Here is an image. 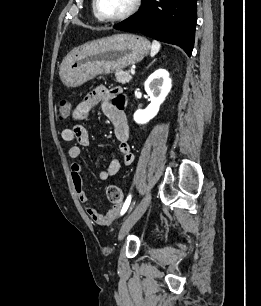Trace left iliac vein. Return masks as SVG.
Instances as JSON below:
<instances>
[{
	"mask_svg": "<svg viewBox=\"0 0 261 306\" xmlns=\"http://www.w3.org/2000/svg\"><path fill=\"white\" fill-rule=\"evenodd\" d=\"M151 202V193H147L140 203L136 206V208L125 217L123 224L120 228L118 239L122 240L132 226L141 218L144 212L147 210L149 204Z\"/></svg>",
	"mask_w": 261,
	"mask_h": 306,
	"instance_id": "4c4485c4",
	"label": "left iliac vein"
}]
</instances>
